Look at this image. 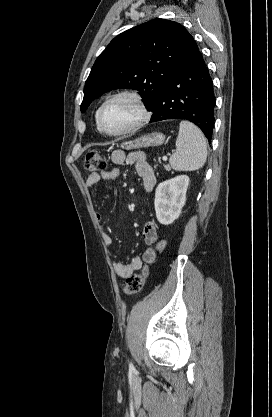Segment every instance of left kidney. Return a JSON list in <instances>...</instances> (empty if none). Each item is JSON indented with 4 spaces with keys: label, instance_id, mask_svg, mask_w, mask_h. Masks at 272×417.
Wrapping results in <instances>:
<instances>
[{
    "label": "left kidney",
    "instance_id": "left-kidney-1",
    "mask_svg": "<svg viewBox=\"0 0 272 417\" xmlns=\"http://www.w3.org/2000/svg\"><path fill=\"white\" fill-rule=\"evenodd\" d=\"M189 185L187 175H179L161 182L155 191V212L157 220L163 225H169L176 220L186 201Z\"/></svg>",
    "mask_w": 272,
    "mask_h": 417
}]
</instances>
